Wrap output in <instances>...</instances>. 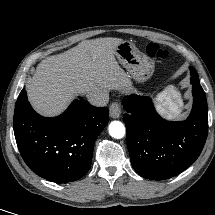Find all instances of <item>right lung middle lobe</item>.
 Listing matches in <instances>:
<instances>
[{
  "label": "right lung middle lobe",
  "instance_id": "dd1d6c3e",
  "mask_svg": "<svg viewBox=\"0 0 215 215\" xmlns=\"http://www.w3.org/2000/svg\"><path fill=\"white\" fill-rule=\"evenodd\" d=\"M23 108H24V105L22 104V102L17 101L15 106L14 117L17 116L23 110Z\"/></svg>",
  "mask_w": 215,
  "mask_h": 215
}]
</instances>
